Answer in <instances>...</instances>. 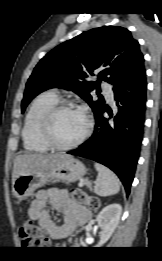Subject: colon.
I'll return each instance as SVG.
<instances>
[{
  "instance_id": "5ec220e1",
  "label": "colon",
  "mask_w": 162,
  "mask_h": 261,
  "mask_svg": "<svg viewBox=\"0 0 162 261\" xmlns=\"http://www.w3.org/2000/svg\"><path fill=\"white\" fill-rule=\"evenodd\" d=\"M73 198L92 210H96L100 206V201L96 197L89 196L81 190L75 191ZM19 233L21 243L26 248H42L48 243L42 229L32 220L25 221L21 225Z\"/></svg>"
}]
</instances>
